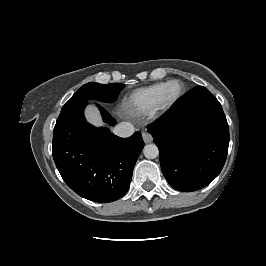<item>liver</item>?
<instances>
[{
  "label": "liver",
  "instance_id": "obj_1",
  "mask_svg": "<svg viewBox=\"0 0 266 266\" xmlns=\"http://www.w3.org/2000/svg\"><path fill=\"white\" fill-rule=\"evenodd\" d=\"M85 116L88 122H90L91 124L95 126L103 125L101 116L95 106L93 105L88 106L85 112Z\"/></svg>",
  "mask_w": 266,
  "mask_h": 266
}]
</instances>
